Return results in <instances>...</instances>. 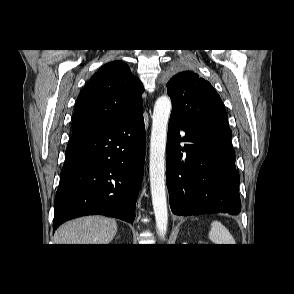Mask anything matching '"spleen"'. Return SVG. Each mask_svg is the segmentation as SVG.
<instances>
[{
  "mask_svg": "<svg viewBox=\"0 0 294 294\" xmlns=\"http://www.w3.org/2000/svg\"><path fill=\"white\" fill-rule=\"evenodd\" d=\"M209 239L214 244H235V240L228 231L219 221H213L209 231Z\"/></svg>",
  "mask_w": 294,
  "mask_h": 294,
  "instance_id": "obj_1",
  "label": "spleen"
}]
</instances>
